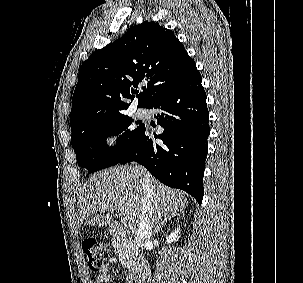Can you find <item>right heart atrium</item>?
<instances>
[{
	"mask_svg": "<svg viewBox=\"0 0 303 283\" xmlns=\"http://www.w3.org/2000/svg\"><path fill=\"white\" fill-rule=\"evenodd\" d=\"M105 148L109 151L118 147L120 142V136L117 132L109 130L106 131L102 138Z\"/></svg>",
	"mask_w": 303,
	"mask_h": 283,
	"instance_id": "right-heart-atrium-1",
	"label": "right heart atrium"
}]
</instances>
